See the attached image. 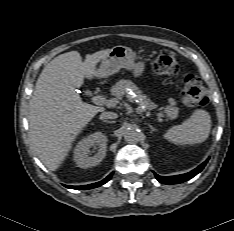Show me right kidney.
<instances>
[{
  "label": "right kidney",
  "mask_w": 234,
  "mask_h": 231,
  "mask_svg": "<svg viewBox=\"0 0 234 231\" xmlns=\"http://www.w3.org/2000/svg\"><path fill=\"white\" fill-rule=\"evenodd\" d=\"M107 137L102 132H95L82 139L74 150V161L80 168L98 165L106 155ZM97 148L96 154L90 156V148Z\"/></svg>",
  "instance_id": "obj_1"
}]
</instances>
